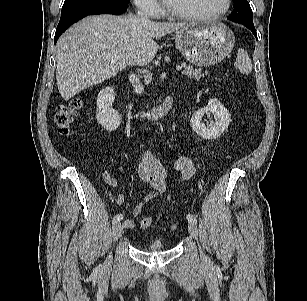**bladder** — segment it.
<instances>
[{
  "mask_svg": "<svg viewBox=\"0 0 307 301\" xmlns=\"http://www.w3.org/2000/svg\"><path fill=\"white\" fill-rule=\"evenodd\" d=\"M165 248L163 241L161 239L153 240L146 248L145 251L147 252H161Z\"/></svg>",
  "mask_w": 307,
  "mask_h": 301,
  "instance_id": "1",
  "label": "bladder"
}]
</instances>
